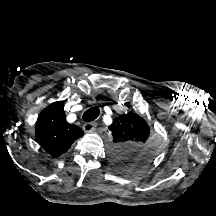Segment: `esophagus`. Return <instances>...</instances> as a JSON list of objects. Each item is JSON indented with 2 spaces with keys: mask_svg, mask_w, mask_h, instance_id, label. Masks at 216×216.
<instances>
[{
  "mask_svg": "<svg viewBox=\"0 0 216 216\" xmlns=\"http://www.w3.org/2000/svg\"><path fill=\"white\" fill-rule=\"evenodd\" d=\"M97 126L96 122H89L83 125V130L87 133L93 132Z\"/></svg>",
  "mask_w": 216,
  "mask_h": 216,
  "instance_id": "34e87169",
  "label": "esophagus"
}]
</instances>
